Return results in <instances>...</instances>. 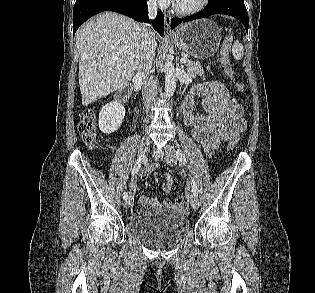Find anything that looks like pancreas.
Listing matches in <instances>:
<instances>
[{"instance_id": "cf45deb5", "label": "pancreas", "mask_w": 315, "mask_h": 293, "mask_svg": "<svg viewBox=\"0 0 315 293\" xmlns=\"http://www.w3.org/2000/svg\"><path fill=\"white\" fill-rule=\"evenodd\" d=\"M185 65H186V71L190 77L196 78L198 76L201 77L204 75V70L199 64V62H194L190 59H187Z\"/></svg>"}]
</instances>
